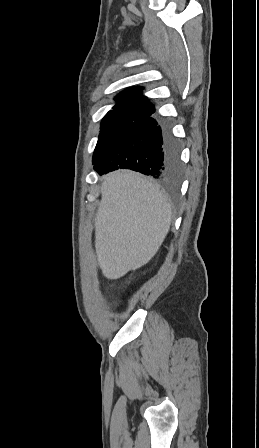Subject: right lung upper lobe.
Here are the masks:
<instances>
[{
    "instance_id": "cb5924a9",
    "label": "right lung upper lobe",
    "mask_w": 259,
    "mask_h": 448,
    "mask_svg": "<svg viewBox=\"0 0 259 448\" xmlns=\"http://www.w3.org/2000/svg\"><path fill=\"white\" fill-rule=\"evenodd\" d=\"M142 92L140 86L125 89L115 98L117 103L108 114H140L143 117L153 114L155 107Z\"/></svg>"
}]
</instances>
